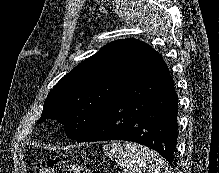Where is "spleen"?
<instances>
[{"label":"spleen","mask_w":219,"mask_h":173,"mask_svg":"<svg viewBox=\"0 0 219 173\" xmlns=\"http://www.w3.org/2000/svg\"><path fill=\"white\" fill-rule=\"evenodd\" d=\"M104 155L117 162L124 173H173L168 164L153 150L134 142L103 146Z\"/></svg>","instance_id":"3e777b00"}]
</instances>
